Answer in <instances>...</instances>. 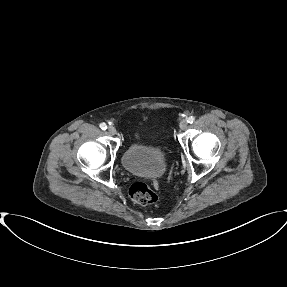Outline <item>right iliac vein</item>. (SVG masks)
Here are the masks:
<instances>
[{"label":"right iliac vein","instance_id":"obj_1","mask_svg":"<svg viewBox=\"0 0 287 287\" xmlns=\"http://www.w3.org/2000/svg\"><path fill=\"white\" fill-rule=\"evenodd\" d=\"M107 131H108V133H109L110 135H115V134H116V129H115V127H113V126H109L108 129H107Z\"/></svg>","mask_w":287,"mask_h":287}]
</instances>
